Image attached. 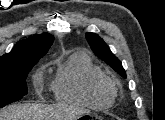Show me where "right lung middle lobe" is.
I'll return each instance as SVG.
<instances>
[{
  "label": "right lung middle lobe",
  "mask_w": 165,
  "mask_h": 120,
  "mask_svg": "<svg viewBox=\"0 0 165 120\" xmlns=\"http://www.w3.org/2000/svg\"><path fill=\"white\" fill-rule=\"evenodd\" d=\"M38 60L0 64V108L27 94L25 80Z\"/></svg>",
  "instance_id": "obj_1"
}]
</instances>
